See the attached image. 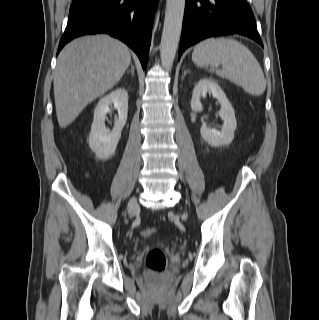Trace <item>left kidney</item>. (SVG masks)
<instances>
[{
  "mask_svg": "<svg viewBox=\"0 0 319 320\" xmlns=\"http://www.w3.org/2000/svg\"><path fill=\"white\" fill-rule=\"evenodd\" d=\"M207 92L211 93L221 105L219 116L223 121V126L221 131H217L210 129L206 125H202L200 129L201 136L211 146L219 147L229 145L234 139L237 122L231 103L215 81L201 79L196 83L191 99V109L193 112H201L203 110L201 97H205Z\"/></svg>",
  "mask_w": 319,
  "mask_h": 320,
  "instance_id": "obj_1",
  "label": "left kidney"
}]
</instances>
